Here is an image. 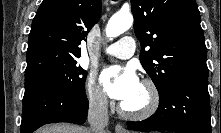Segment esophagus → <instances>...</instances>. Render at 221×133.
<instances>
[{
  "label": "esophagus",
  "mask_w": 221,
  "mask_h": 133,
  "mask_svg": "<svg viewBox=\"0 0 221 133\" xmlns=\"http://www.w3.org/2000/svg\"><path fill=\"white\" fill-rule=\"evenodd\" d=\"M115 132L116 133H128L121 124H117L115 126Z\"/></svg>",
  "instance_id": "1"
}]
</instances>
